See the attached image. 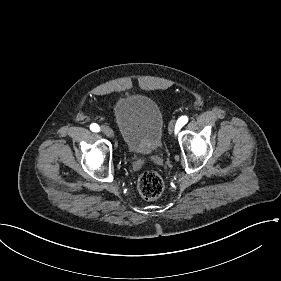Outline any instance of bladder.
<instances>
[{
    "mask_svg": "<svg viewBox=\"0 0 281 281\" xmlns=\"http://www.w3.org/2000/svg\"><path fill=\"white\" fill-rule=\"evenodd\" d=\"M112 115L116 130L128 150L143 158L161 149L164 115L152 96L135 93L120 97L113 104Z\"/></svg>",
    "mask_w": 281,
    "mask_h": 281,
    "instance_id": "bladder-1",
    "label": "bladder"
}]
</instances>
